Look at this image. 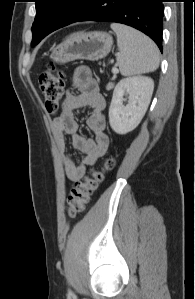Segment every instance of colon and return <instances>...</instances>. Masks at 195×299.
Wrapping results in <instances>:
<instances>
[{
  "mask_svg": "<svg viewBox=\"0 0 195 299\" xmlns=\"http://www.w3.org/2000/svg\"><path fill=\"white\" fill-rule=\"evenodd\" d=\"M39 86L47 112L55 115L63 95L65 74L54 65H49L39 77ZM113 167V159L107 158L101 167L91 169L88 175L75 182L66 203L69 217L75 218L84 212L90 196L103 181L104 173Z\"/></svg>",
  "mask_w": 195,
  "mask_h": 299,
  "instance_id": "1",
  "label": "colon"
}]
</instances>
